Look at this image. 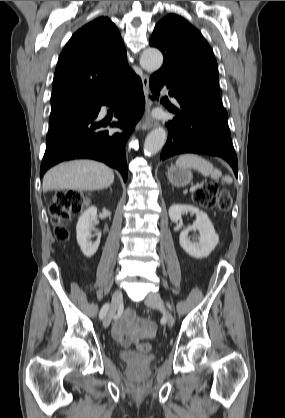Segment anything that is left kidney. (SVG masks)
Masks as SVG:
<instances>
[{
	"instance_id": "left-kidney-1",
	"label": "left kidney",
	"mask_w": 285,
	"mask_h": 418,
	"mask_svg": "<svg viewBox=\"0 0 285 418\" xmlns=\"http://www.w3.org/2000/svg\"><path fill=\"white\" fill-rule=\"evenodd\" d=\"M191 213L196 215V221L184 230L179 236V243L182 249L192 257L204 258L215 249L219 242V236L206 213L198 207L184 204H173L169 208V216L172 222L178 223L182 215ZM191 230H198L200 233L199 242H193L188 237Z\"/></svg>"
}]
</instances>
